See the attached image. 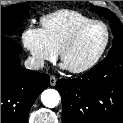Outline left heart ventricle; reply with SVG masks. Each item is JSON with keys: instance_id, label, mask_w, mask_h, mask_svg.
Returning <instances> with one entry per match:
<instances>
[{"instance_id": "b2bd125f", "label": "left heart ventricle", "mask_w": 123, "mask_h": 123, "mask_svg": "<svg viewBox=\"0 0 123 123\" xmlns=\"http://www.w3.org/2000/svg\"><path fill=\"white\" fill-rule=\"evenodd\" d=\"M105 38L106 32L102 26L94 25L88 28L66 54L65 65L77 68L89 63L102 48Z\"/></svg>"}]
</instances>
